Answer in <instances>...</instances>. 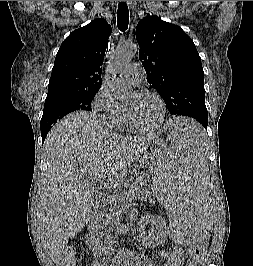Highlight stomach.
Masks as SVG:
<instances>
[{"label": "stomach", "instance_id": "0dacf381", "mask_svg": "<svg viewBox=\"0 0 253 266\" xmlns=\"http://www.w3.org/2000/svg\"><path fill=\"white\" fill-rule=\"evenodd\" d=\"M165 150H168L166 144L161 139L151 141L145 148L143 154L139 157L140 165L143 169L153 173L155 176V160H160L161 156H164Z\"/></svg>", "mask_w": 253, "mask_h": 266}]
</instances>
